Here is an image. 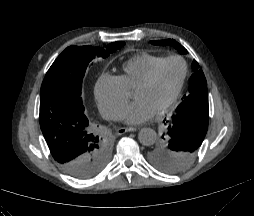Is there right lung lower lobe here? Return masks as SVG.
<instances>
[{"label": "right lung lower lobe", "instance_id": "obj_1", "mask_svg": "<svg viewBox=\"0 0 254 216\" xmlns=\"http://www.w3.org/2000/svg\"><path fill=\"white\" fill-rule=\"evenodd\" d=\"M40 127L58 165L69 175L87 179L99 172V141L92 133L82 101L49 92L40 98ZM78 170H74L75 166Z\"/></svg>", "mask_w": 254, "mask_h": 216}]
</instances>
